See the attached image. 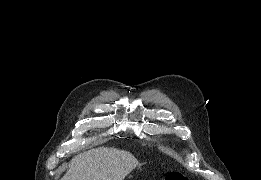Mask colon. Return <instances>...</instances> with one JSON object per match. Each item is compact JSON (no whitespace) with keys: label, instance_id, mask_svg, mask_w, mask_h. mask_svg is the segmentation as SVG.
Returning <instances> with one entry per match:
<instances>
[{"label":"colon","instance_id":"5ec220e1","mask_svg":"<svg viewBox=\"0 0 261 180\" xmlns=\"http://www.w3.org/2000/svg\"><path fill=\"white\" fill-rule=\"evenodd\" d=\"M187 176L180 172H171L166 176V180H187Z\"/></svg>","mask_w":261,"mask_h":180}]
</instances>
